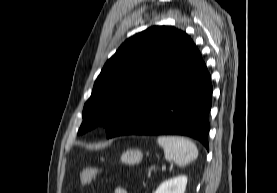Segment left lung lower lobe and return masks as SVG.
<instances>
[{
    "label": "left lung lower lobe",
    "mask_w": 277,
    "mask_h": 193,
    "mask_svg": "<svg viewBox=\"0 0 277 193\" xmlns=\"http://www.w3.org/2000/svg\"><path fill=\"white\" fill-rule=\"evenodd\" d=\"M211 77L197 48L147 96L109 138L122 135H186L208 149Z\"/></svg>",
    "instance_id": "0a47b994"
}]
</instances>
